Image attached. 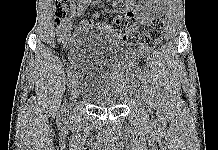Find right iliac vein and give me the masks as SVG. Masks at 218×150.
<instances>
[{"label": "right iliac vein", "mask_w": 218, "mask_h": 150, "mask_svg": "<svg viewBox=\"0 0 218 150\" xmlns=\"http://www.w3.org/2000/svg\"><path fill=\"white\" fill-rule=\"evenodd\" d=\"M78 94H79L78 82H77L76 78H73L72 82H71V85H70V105H69V108L71 107L73 102L78 97ZM66 113L68 115L69 114V110Z\"/></svg>", "instance_id": "63e3f726"}]
</instances>
